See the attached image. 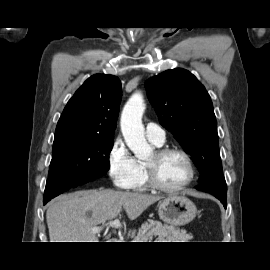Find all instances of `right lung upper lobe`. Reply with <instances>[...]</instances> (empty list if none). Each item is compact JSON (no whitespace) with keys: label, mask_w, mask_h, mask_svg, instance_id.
Segmentation results:
<instances>
[{"label":"right lung upper lobe","mask_w":270,"mask_h":270,"mask_svg":"<svg viewBox=\"0 0 270 270\" xmlns=\"http://www.w3.org/2000/svg\"><path fill=\"white\" fill-rule=\"evenodd\" d=\"M121 97V82L116 76H91L67 103L55 135L75 133L114 137Z\"/></svg>","instance_id":"obj_1"}]
</instances>
